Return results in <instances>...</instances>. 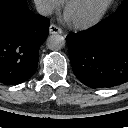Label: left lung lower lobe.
Segmentation results:
<instances>
[{"instance_id": "1", "label": "left lung lower lobe", "mask_w": 128, "mask_h": 128, "mask_svg": "<svg viewBox=\"0 0 128 128\" xmlns=\"http://www.w3.org/2000/svg\"><path fill=\"white\" fill-rule=\"evenodd\" d=\"M75 76L91 88L128 81V8L66 37Z\"/></svg>"}]
</instances>
